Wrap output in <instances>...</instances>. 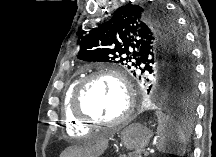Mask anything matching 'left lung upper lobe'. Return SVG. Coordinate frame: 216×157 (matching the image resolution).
Returning a JSON list of instances; mask_svg holds the SVG:
<instances>
[{"label":"left lung upper lobe","mask_w":216,"mask_h":157,"mask_svg":"<svg viewBox=\"0 0 216 157\" xmlns=\"http://www.w3.org/2000/svg\"><path fill=\"white\" fill-rule=\"evenodd\" d=\"M79 44V59L148 71L167 94L183 97L187 86L192 90L196 87L195 68L183 34L176 20L160 5L127 4L83 36ZM189 106L194 107V98Z\"/></svg>","instance_id":"obj_1"}]
</instances>
